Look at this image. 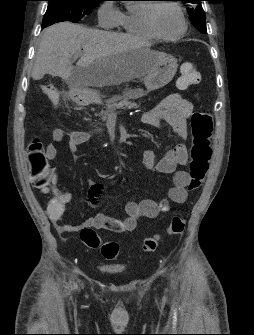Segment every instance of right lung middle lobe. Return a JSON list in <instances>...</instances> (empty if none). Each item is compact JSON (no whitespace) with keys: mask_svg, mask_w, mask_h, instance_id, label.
Returning <instances> with one entry per match:
<instances>
[{"mask_svg":"<svg viewBox=\"0 0 254 335\" xmlns=\"http://www.w3.org/2000/svg\"><path fill=\"white\" fill-rule=\"evenodd\" d=\"M47 1H49V5L42 21V27L62 21L78 23L85 15H89L102 0Z\"/></svg>","mask_w":254,"mask_h":335,"instance_id":"right-lung-middle-lobe-1","label":"right lung middle lobe"}]
</instances>
